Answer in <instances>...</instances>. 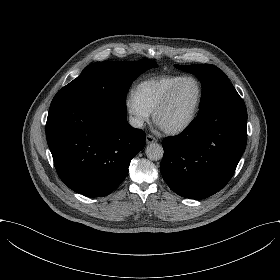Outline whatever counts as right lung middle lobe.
Returning <instances> with one entry per match:
<instances>
[{
  "instance_id": "1",
  "label": "right lung middle lobe",
  "mask_w": 280,
  "mask_h": 280,
  "mask_svg": "<svg viewBox=\"0 0 280 280\" xmlns=\"http://www.w3.org/2000/svg\"><path fill=\"white\" fill-rule=\"evenodd\" d=\"M158 67L155 61H105L88 65L72 82L61 88L55 97H76L96 103L126 116V95L132 82L146 70Z\"/></svg>"
}]
</instances>
